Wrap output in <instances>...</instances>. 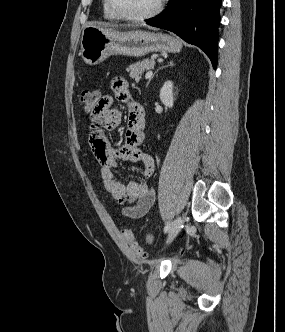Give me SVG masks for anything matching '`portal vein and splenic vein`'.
Masks as SVG:
<instances>
[{"label": "portal vein and splenic vein", "instance_id": "portal-vein-and-splenic-vein-1", "mask_svg": "<svg viewBox=\"0 0 285 332\" xmlns=\"http://www.w3.org/2000/svg\"><path fill=\"white\" fill-rule=\"evenodd\" d=\"M153 75V72L152 71H148L145 75V78L148 79L150 78L151 76Z\"/></svg>", "mask_w": 285, "mask_h": 332}]
</instances>
